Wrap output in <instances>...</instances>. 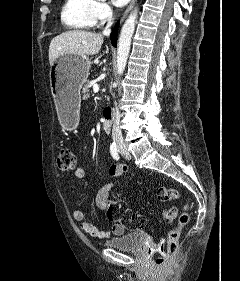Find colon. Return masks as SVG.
Here are the masks:
<instances>
[{
  "label": "colon",
  "instance_id": "colon-1",
  "mask_svg": "<svg viewBox=\"0 0 240 281\" xmlns=\"http://www.w3.org/2000/svg\"><path fill=\"white\" fill-rule=\"evenodd\" d=\"M77 158L70 149H62L57 157V167L60 171L68 172L76 169ZM158 199L161 201H172L178 198V191L174 188L162 186L157 191ZM107 217L129 230L142 229L146 226V218L137 213L129 211L127 205L122 201L109 202ZM177 225L168 232L165 242H161L155 249L154 262L158 267H166L170 264L172 257L177 252L181 239L182 229L189 220L188 205H184L179 213L177 207H170L162 211V216L166 221L172 222L177 216Z\"/></svg>",
  "mask_w": 240,
  "mask_h": 281
}]
</instances>
